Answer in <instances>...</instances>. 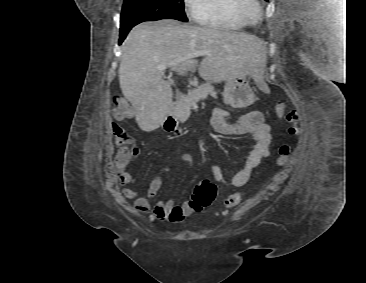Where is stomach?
<instances>
[{
    "instance_id": "stomach-1",
    "label": "stomach",
    "mask_w": 366,
    "mask_h": 283,
    "mask_svg": "<svg viewBox=\"0 0 366 283\" xmlns=\"http://www.w3.org/2000/svg\"><path fill=\"white\" fill-rule=\"evenodd\" d=\"M237 93H246L251 98H253L254 96L250 88L247 76L245 74L231 75L226 79V84L223 92L224 103L230 106H237L238 103L235 99ZM252 101V99H249L248 103H251Z\"/></svg>"
}]
</instances>
